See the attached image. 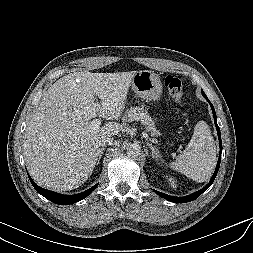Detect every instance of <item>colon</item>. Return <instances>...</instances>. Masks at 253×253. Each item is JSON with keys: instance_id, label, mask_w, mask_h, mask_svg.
I'll return each mask as SVG.
<instances>
[{"instance_id": "5ec220e1", "label": "colon", "mask_w": 253, "mask_h": 253, "mask_svg": "<svg viewBox=\"0 0 253 253\" xmlns=\"http://www.w3.org/2000/svg\"><path fill=\"white\" fill-rule=\"evenodd\" d=\"M164 83L175 101H180L183 98V82L178 77L168 75Z\"/></svg>"}]
</instances>
